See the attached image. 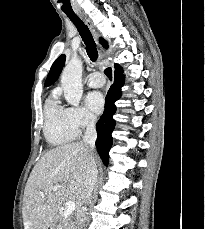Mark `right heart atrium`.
I'll list each match as a JSON object with an SVG mask.
<instances>
[{
  "label": "right heart atrium",
  "instance_id": "obj_1",
  "mask_svg": "<svg viewBox=\"0 0 205 229\" xmlns=\"http://www.w3.org/2000/svg\"><path fill=\"white\" fill-rule=\"evenodd\" d=\"M66 110L68 119L78 134L84 129L93 127L96 123L94 115L82 106L68 107Z\"/></svg>",
  "mask_w": 205,
  "mask_h": 229
}]
</instances>
